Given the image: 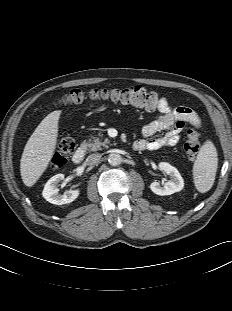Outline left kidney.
Listing matches in <instances>:
<instances>
[{"label": "left kidney", "instance_id": "1", "mask_svg": "<svg viewBox=\"0 0 232 311\" xmlns=\"http://www.w3.org/2000/svg\"><path fill=\"white\" fill-rule=\"evenodd\" d=\"M159 169L169 175L170 180H168V182H166L163 186H161L158 182H152L150 189L153 193L165 196L179 192L184 188V180L174 166L166 162H161L159 163Z\"/></svg>", "mask_w": 232, "mask_h": 311}]
</instances>
